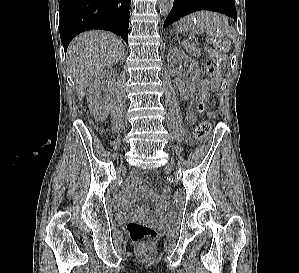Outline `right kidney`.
Wrapping results in <instances>:
<instances>
[{
  "label": "right kidney",
  "mask_w": 299,
  "mask_h": 273,
  "mask_svg": "<svg viewBox=\"0 0 299 273\" xmlns=\"http://www.w3.org/2000/svg\"><path fill=\"white\" fill-rule=\"evenodd\" d=\"M117 76L116 69H103L96 73L88 83L87 103L91 114L100 121L105 120L109 114L114 94L113 81ZM110 79L112 82L105 86Z\"/></svg>",
  "instance_id": "right-kidney-1"
}]
</instances>
